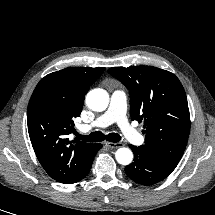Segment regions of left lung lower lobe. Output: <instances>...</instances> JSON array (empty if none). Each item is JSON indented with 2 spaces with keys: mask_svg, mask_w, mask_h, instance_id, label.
<instances>
[{
  "mask_svg": "<svg viewBox=\"0 0 215 215\" xmlns=\"http://www.w3.org/2000/svg\"><path fill=\"white\" fill-rule=\"evenodd\" d=\"M134 153V162L126 166L127 176L138 184L152 185L168 177L175 169L157 160L148 149L129 145Z\"/></svg>",
  "mask_w": 215,
  "mask_h": 215,
  "instance_id": "obj_1",
  "label": "left lung lower lobe"
}]
</instances>
